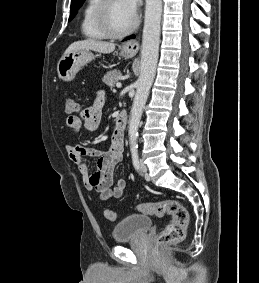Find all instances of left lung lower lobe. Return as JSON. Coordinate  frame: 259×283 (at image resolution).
I'll return each instance as SVG.
<instances>
[{
    "instance_id": "left-lung-lower-lobe-1",
    "label": "left lung lower lobe",
    "mask_w": 259,
    "mask_h": 283,
    "mask_svg": "<svg viewBox=\"0 0 259 283\" xmlns=\"http://www.w3.org/2000/svg\"><path fill=\"white\" fill-rule=\"evenodd\" d=\"M131 38H134V35L126 38L125 40L131 39Z\"/></svg>"
}]
</instances>
